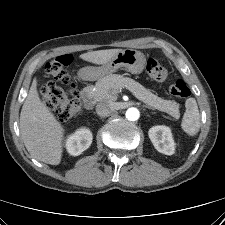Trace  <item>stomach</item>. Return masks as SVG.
I'll return each mask as SVG.
<instances>
[{"label":"stomach","mask_w":225,"mask_h":225,"mask_svg":"<svg viewBox=\"0 0 225 225\" xmlns=\"http://www.w3.org/2000/svg\"><path fill=\"white\" fill-rule=\"evenodd\" d=\"M145 55L135 49H124L100 67H86L82 70L83 78L96 80L111 75L119 69L132 74H140L145 67Z\"/></svg>","instance_id":"1"}]
</instances>
